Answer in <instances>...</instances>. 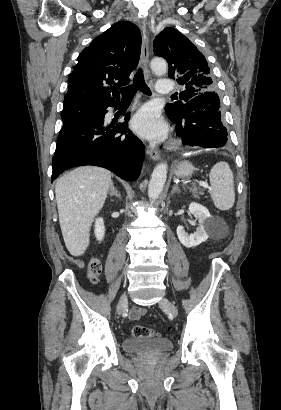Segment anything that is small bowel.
I'll use <instances>...</instances> for the list:
<instances>
[{"mask_svg": "<svg viewBox=\"0 0 281 410\" xmlns=\"http://www.w3.org/2000/svg\"><path fill=\"white\" fill-rule=\"evenodd\" d=\"M144 313V310L141 308H133L130 312V318L132 320H137L140 318V316Z\"/></svg>", "mask_w": 281, "mask_h": 410, "instance_id": "c3829d8e", "label": "small bowel"}]
</instances>
